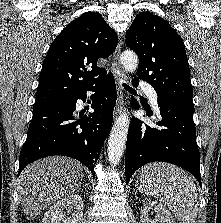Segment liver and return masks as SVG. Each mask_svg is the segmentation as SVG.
<instances>
[{
	"label": "liver",
	"instance_id": "obj_1",
	"mask_svg": "<svg viewBox=\"0 0 221 223\" xmlns=\"http://www.w3.org/2000/svg\"><path fill=\"white\" fill-rule=\"evenodd\" d=\"M82 181L81 164L68 157L51 156L29 164L18 180L26 218L33 220L58 200L78 191Z\"/></svg>",
	"mask_w": 221,
	"mask_h": 223
}]
</instances>
